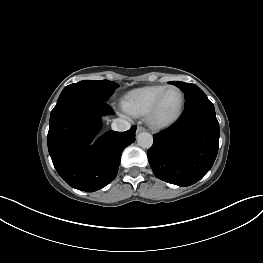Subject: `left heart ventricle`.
<instances>
[{
	"label": "left heart ventricle",
	"mask_w": 263,
	"mask_h": 263,
	"mask_svg": "<svg viewBox=\"0 0 263 263\" xmlns=\"http://www.w3.org/2000/svg\"><path fill=\"white\" fill-rule=\"evenodd\" d=\"M181 105V94L177 90H170L164 97L157 118L166 120L171 118L179 110Z\"/></svg>",
	"instance_id": "obj_1"
}]
</instances>
